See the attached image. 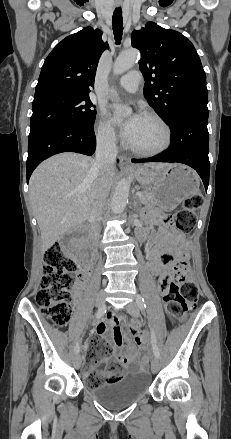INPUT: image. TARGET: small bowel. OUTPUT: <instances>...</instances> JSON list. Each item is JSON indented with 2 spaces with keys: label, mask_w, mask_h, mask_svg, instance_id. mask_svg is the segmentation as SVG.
Wrapping results in <instances>:
<instances>
[{
  "label": "small bowel",
  "mask_w": 231,
  "mask_h": 439,
  "mask_svg": "<svg viewBox=\"0 0 231 439\" xmlns=\"http://www.w3.org/2000/svg\"><path fill=\"white\" fill-rule=\"evenodd\" d=\"M173 252V248L171 246H162L158 245L152 247L149 251V259L151 261L152 272L155 275L169 274L171 271V267L169 265H164L162 260L165 258H169L171 253ZM87 268L84 267L82 273L85 274L87 272ZM167 277L161 276L159 279V289L161 292L165 291V285L167 284ZM80 285L78 286V290H80ZM137 324V323H136ZM98 334L111 342L114 345L115 357L119 360L121 364L126 366L128 369L135 370L143 365L142 361H135L134 358L137 355V348L135 344H130L129 348L125 350L123 348L124 336L120 331L117 323L114 320H111L108 325L99 324L97 327ZM136 345H138L142 349L147 348V338L144 335H138L135 337ZM87 348V344L85 345ZM110 362V359H105L102 361L100 365L93 368L92 371L106 374V365Z\"/></svg>",
  "instance_id": "small-bowel-1"
}]
</instances>
